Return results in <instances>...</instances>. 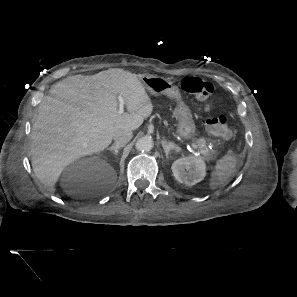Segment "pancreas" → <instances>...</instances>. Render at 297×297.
<instances>
[{"label": "pancreas", "mask_w": 297, "mask_h": 297, "mask_svg": "<svg viewBox=\"0 0 297 297\" xmlns=\"http://www.w3.org/2000/svg\"><path fill=\"white\" fill-rule=\"evenodd\" d=\"M208 144V140L204 138H199L195 141V145L199 148L205 159L210 160L217 155V151L215 149H209Z\"/></svg>", "instance_id": "cf45deb5"}]
</instances>
